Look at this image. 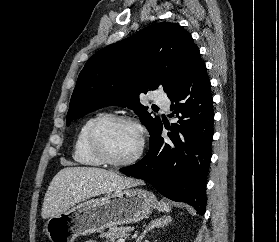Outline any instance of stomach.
Masks as SVG:
<instances>
[{
	"label": "stomach",
	"instance_id": "0dacf381",
	"mask_svg": "<svg viewBox=\"0 0 279 242\" xmlns=\"http://www.w3.org/2000/svg\"><path fill=\"white\" fill-rule=\"evenodd\" d=\"M156 205L155 195L147 190H117L104 197L81 201L50 217L45 224V231L51 242H73L78 236L136 223L147 217Z\"/></svg>",
	"mask_w": 279,
	"mask_h": 242
}]
</instances>
